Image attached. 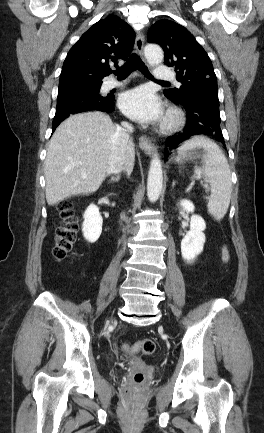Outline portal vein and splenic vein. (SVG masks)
<instances>
[{"mask_svg":"<svg viewBox=\"0 0 264 433\" xmlns=\"http://www.w3.org/2000/svg\"><path fill=\"white\" fill-rule=\"evenodd\" d=\"M204 187H205L206 189H208V185L205 184Z\"/></svg>","mask_w":264,"mask_h":433,"instance_id":"obj_1","label":"portal vein and splenic vein"}]
</instances>
